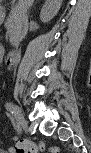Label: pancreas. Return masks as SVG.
Segmentation results:
<instances>
[{
	"label": "pancreas",
	"instance_id": "1",
	"mask_svg": "<svg viewBox=\"0 0 91 153\" xmlns=\"http://www.w3.org/2000/svg\"><path fill=\"white\" fill-rule=\"evenodd\" d=\"M5 27L10 35L11 45H17L23 36V21L21 16L13 10L5 22Z\"/></svg>",
	"mask_w": 91,
	"mask_h": 153
}]
</instances>
